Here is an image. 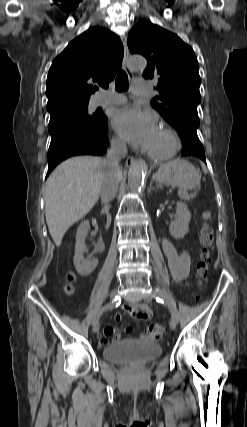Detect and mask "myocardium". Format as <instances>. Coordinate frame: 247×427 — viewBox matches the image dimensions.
<instances>
[{"instance_id":"1","label":"myocardium","mask_w":247,"mask_h":427,"mask_svg":"<svg viewBox=\"0 0 247 427\" xmlns=\"http://www.w3.org/2000/svg\"><path fill=\"white\" fill-rule=\"evenodd\" d=\"M159 128L168 136L169 145L161 151L147 149L146 154L155 161H164L172 158L177 153L180 147V140L176 131L169 125L162 124Z\"/></svg>"}]
</instances>
